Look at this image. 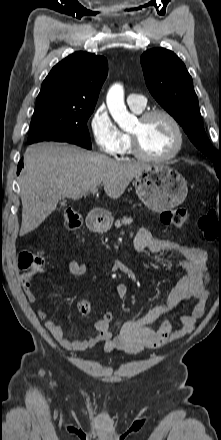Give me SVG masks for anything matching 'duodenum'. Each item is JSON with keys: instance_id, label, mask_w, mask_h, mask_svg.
Returning a JSON list of instances; mask_svg holds the SVG:
<instances>
[{"instance_id": "1", "label": "duodenum", "mask_w": 221, "mask_h": 440, "mask_svg": "<svg viewBox=\"0 0 221 440\" xmlns=\"http://www.w3.org/2000/svg\"><path fill=\"white\" fill-rule=\"evenodd\" d=\"M108 218L100 210H95L87 216V224L91 229H99L107 224Z\"/></svg>"}]
</instances>
